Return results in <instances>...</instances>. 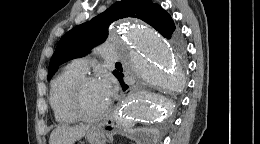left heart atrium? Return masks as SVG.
<instances>
[{
    "instance_id": "left-heart-atrium-1",
    "label": "left heart atrium",
    "mask_w": 260,
    "mask_h": 144,
    "mask_svg": "<svg viewBox=\"0 0 260 144\" xmlns=\"http://www.w3.org/2000/svg\"><path fill=\"white\" fill-rule=\"evenodd\" d=\"M99 85L104 98L106 99L107 102H109L111 97L114 95V91H115L113 79L110 77H105L99 82Z\"/></svg>"
}]
</instances>
